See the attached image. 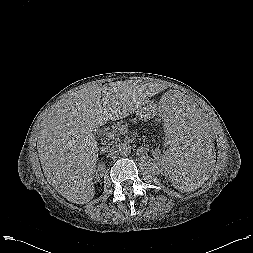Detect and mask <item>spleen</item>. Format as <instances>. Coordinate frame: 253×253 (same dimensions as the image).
I'll use <instances>...</instances> for the list:
<instances>
[{
    "label": "spleen",
    "mask_w": 253,
    "mask_h": 253,
    "mask_svg": "<svg viewBox=\"0 0 253 253\" xmlns=\"http://www.w3.org/2000/svg\"><path fill=\"white\" fill-rule=\"evenodd\" d=\"M158 113L163 120V172L177 189H197L213 168L216 131L212 119L191 106L188 98L179 92L164 95Z\"/></svg>",
    "instance_id": "spleen-1"
}]
</instances>
